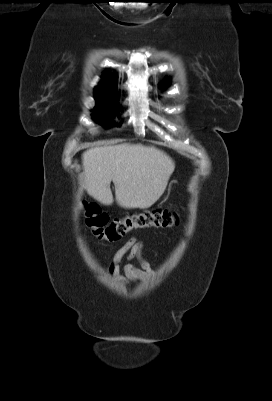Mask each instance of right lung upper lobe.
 <instances>
[{
    "instance_id": "cb5924a9",
    "label": "right lung upper lobe",
    "mask_w": 272,
    "mask_h": 401,
    "mask_svg": "<svg viewBox=\"0 0 272 401\" xmlns=\"http://www.w3.org/2000/svg\"><path fill=\"white\" fill-rule=\"evenodd\" d=\"M116 95L114 88V79L111 74L104 73V78L100 82V85L95 88L96 101L111 99Z\"/></svg>"
}]
</instances>
